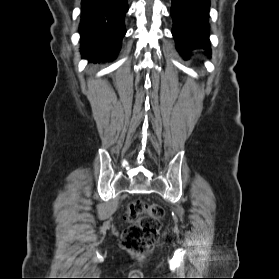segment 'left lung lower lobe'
I'll list each match as a JSON object with an SVG mask.
<instances>
[{
    "mask_svg": "<svg viewBox=\"0 0 279 279\" xmlns=\"http://www.w3.org/2000/svg\"><path fill=\"white\" fill-rule=\"evenodd\" d=\"M209 8L210 0H172V34L184 57L195 48H204L210 53Z\"/></svg>",
    "mask_w": 279,
    "mask_h": 279,
    "instance_id": "left-lung-lower-lobe-1",
    "label": "left lung lower lobe"
}]
</instances>
